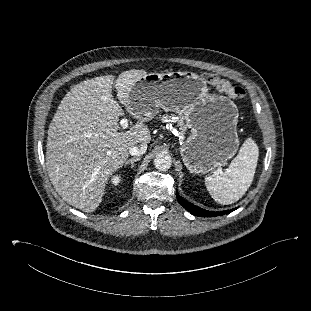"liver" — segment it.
<instances>
[{"label":"liver","mask_w":311,"mask_h":311,"mask_svg":"<svg viewBox=\"0 0 311 311\" xmlns=\"http://www.w3.org/2000/svg\"><path fill=\"white\" fill-rule=\"evenodd\" d=\"M143 70L95 77L76 84L62 99L49 125L46 150L48 176L68 204L93 212L101 203L109 177L127 160L129 150L151 140L146 120L132 113L129 93ZM115 80V82H114ZM137 119L128 131L119 127L123 109Z\"/></svg>","instance_id":"obj_1"}]
</instances>
